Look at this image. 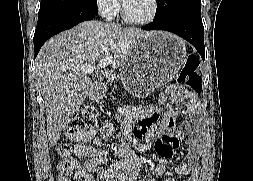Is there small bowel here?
Masks as SVG:
<instances>
[{"mask_svg": "<svg viewBox=\"0 0 253 181\" xmlns=\"http://www.w3.org/2000/svg\"><path fill=\"white\" fill-rule=\"evenodd\" d=\"M187 101L185 114L194 118L199 110V102L196 95L189 91H183L176 86L170 87L166 93L159 97V104L148 107L133 106L127 109V116L138 119L134 128V136L150 138L157 131L160 136L157 149L161 160L156 164L154 171L162 181H175L177 176H184V181H197L200 153V133L193 127L188 131L192 134L189 142L190 159L179 164L173 171H167L164 162L169 160L173 151L177 148V140L180 130L177 122L183 117V112L177 108H170L162 113L161 105L170 102L179 105ZM114 128L110 121H106L99 133L92 139L90 145H78L74 153L78 158H85V172L88 181H136L138 164L130 155H123L106 164V155L97 146L102 140L112 138ZM96 175V179L94 177ZM140 181H153L145 178Z\"/></svg>", "mask_w": 253, "mask_h": 181, "instance_id": "small-bowel-1", "label": "small bowel"}]
</instances>
